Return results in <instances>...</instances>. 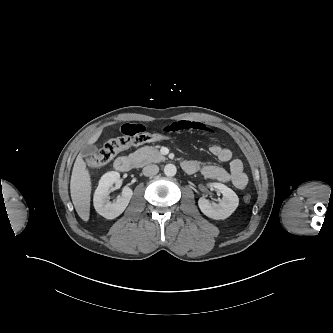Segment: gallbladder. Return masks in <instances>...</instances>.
I'll list each match as a JSON object with an SVG mask.
<instances>
[{"mask_svg":"<svg viewBox=\"0 0 333 333\" xmlns=\"http://www.w3.org/2000/svg\"><path fill=\"white\" fill-rule=\"evenodd\" d=\"M96 152L97 148L94 145H85L81 150L82 155L85 157L95 154Z\"/></svg>","mask_w":333,"mask_h":333,"instance_id":"obj_1","label":"gallbladder"}]
</instances>
